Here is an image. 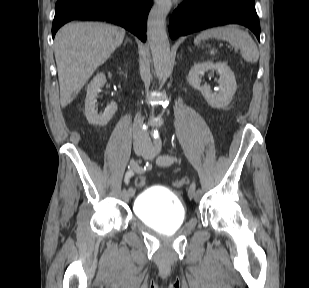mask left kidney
Listing matches in <instances>:
<instances>
[{
	"instance_id": "obj_1",
	"label": "left kidney",
	"mask_w": 309,
	"mask_h": 288,
	"mask_svg": "<svg viewBox=\"0 0 309 288\" xmlns=\"http://www.w3.org/2000/svg\"><path fill=\"white\" fill-rule=\"evenodd\" d=\"M209 70H216L220 74L218 80L220 90L216 93H212L209 85H201L200 76ZM187 80L194 89L201 92L207 103L213 108H224L229 105L237 89L234 73L225 62L205 61L198 63L189 71Z\"/></svg>"
}]
</instances>
